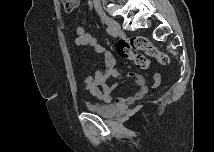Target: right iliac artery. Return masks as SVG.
Here are the masks:
<instances>
[{"instance_id": "obj_1", "label": "right iliac artery", "mask_w": 215, "mask_h": 152, "mask_svg": "<svg viewBox=\"0 0 215 152\" xmlns=\"http://www.w3.org/2000/svg\"><path fill=\"white\" fill-rule=\"evenodd\" d=\"M106 31L108 34H110L111 36L116 37V33L111 29V28H106Z\"/></svg>"}]
</instances>
